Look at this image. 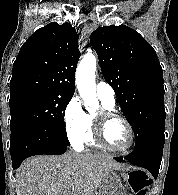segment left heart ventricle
<instances>
[{
  "label": "left heart ventricle",
  "mask_w": 178,
  "mask_h": 195,
  "mask_svg": "<svg viewBox=\"0 0 178 195\" xmlns=\"http://www.w3.org/2000/svg\"><path fill=\"white\" fill-rule=\"evenodd\" d=\"M105 139L114 148H125L129 145L130 135L121 121L113 120L106 125Z\"/></svg>",
  "instance_id": "obj_1"
}]
</instances>
